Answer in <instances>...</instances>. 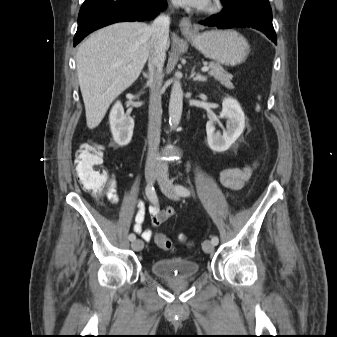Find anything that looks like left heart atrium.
Segmentation results:
<instances>
[{
	"label": "left heart atrium",
	"mask_w": 337,
	"mask_h": 337,
	"mask_svg": "<svg viewBox=\"0 0 337 337\" xmlns=\"http://www.w3.org/2000/svg\"><path fill=\"white\" fill-rule=\"evenodd\" d=\"M173 1L178 5L193 8H203L209 3V0H173Z\"/></svg>",
	"instance_id": "39dd6f15"
}]
</instances>
